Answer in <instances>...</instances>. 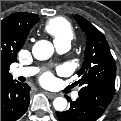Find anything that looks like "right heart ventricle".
Returning <instances> with one entry per match:
<instances>
[{
	"label": "right heart ventricle",
	"mask_w": 121,
	"mask_h": 121,
	"mask_svg": "<svg viewBox=\"0 0 121 121\" xmlns=\"http://www.w3.org/2000/svg\"><path fill=\"white\" fill-rule=\"evenodd\" d=\"M44 30L53 37L56 46L66 43L70 44L74 38V30L71 24L63 18L49 20Z\"/></svg>",
	"instance_id": "1"
}]
</instances>
